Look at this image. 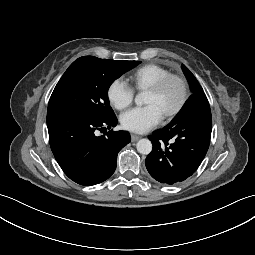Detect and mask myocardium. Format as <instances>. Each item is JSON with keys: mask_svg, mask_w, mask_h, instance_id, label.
I'll use <instances>...</instances> for the list:
<instances>
[{"mask_svg": "<svg viewBox=\"0 0 255 255\" xmlns=\"http://www.w3.org/2000/svg\"><path fill=\"white\" fill-rule=\"evenodd\" d=\"M171 80H176L180 83L182 93H181V98H180L178 104L172 110H170L164 114V116L166 118H172V117L176 116L184 107V105L188 99V96H189V86H188L186 79L179 74L170 73V74L162 77L161 79H159L156 83H154L152 86H150L146 90L149 92L157 93V92L161 91Z\"/></svg>", "mask_w": 255, "mask_h": 255, "instance_id": "obj_1", "label": "myocardium"}]
</instances>
